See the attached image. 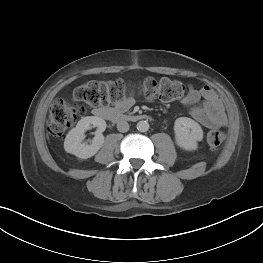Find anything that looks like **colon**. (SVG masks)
I'll list each match as a JSON object with an SVG mask.
<instances>
[{
    "label": "colon",
    "mask_w": 263,
    "mask_h": 263,
    "mask_svg": "<svg viewBox=\"0 0 263 263\" xmlns=\"http://www.w3.org/2000/svg\"><path fill=\"white\" fill-rule=\"evenodd\" d=\"M130 86L123 80L89 81L74 91V98L90 106H105L118 104L128 93ZM139 89L148 99L159 98L171 102L185 98L191 92L190 86L182 81L152 77L145 78L139 83ZM83 108L72 105L63 99L53 101L48 119V132L53 137H61L67 129L75 124ZM225 140L221 130H211L206 136V142L211 148H218Z\"/></svg>",
    "instance_id": "5ec220e1"
}]
</instances>
